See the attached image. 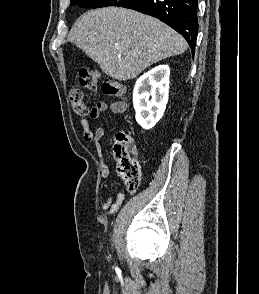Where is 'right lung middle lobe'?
I'll return each mask as SVG.
<instances>
[{
    "label": "right lung middle lobe",
    "mask_w": 259,
    "mask_h": 294,
    "mask_svg": "<svg viewBox=\"0 0 259 294\" xmlns=\"http://www.w3.org/2000/svg\"><path fill=\"white\" fill-rule=\"evenodd\" d=\"M129 0H70L71 5H78L85 8H101L107 6L121 7Z\"/></svg>",
    "instance_id": "right-lung-middle-lobe-1"
}]
</instances>
